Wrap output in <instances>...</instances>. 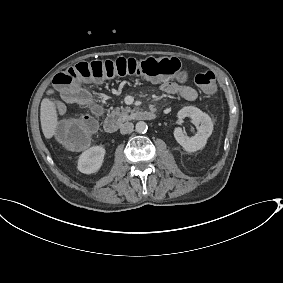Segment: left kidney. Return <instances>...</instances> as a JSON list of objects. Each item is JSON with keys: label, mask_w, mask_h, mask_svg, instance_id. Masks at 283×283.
Segmentation results:
<instances>
[{"label": "left kidney", "mask_w": 283, "mask_h": 283, "mask_svg": "<svg viewBox=\"0 0 283 283\" xmlns=\"http://www.w3.org/2000/svg\"><path fill=\"white\" fill-rule=\"evenodd\" d=\"M179 118H189L195 125L200 124L195 135L188 137L183 135L180 128L175 129L174 136L176 141L182 146V148L189 153H195L203 149L207 140L210 138L213 131V124L211 118L200 109L194 106H187L182 108L178 112Z\"/></svg>", "instance_id": "1"}]
</instances>
